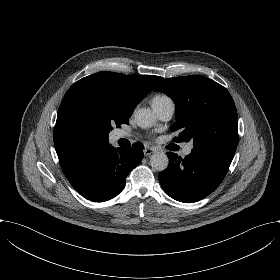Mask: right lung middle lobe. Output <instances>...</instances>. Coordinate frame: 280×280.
<instances>
[{"mask_svg":"<svg viewBox=\"0 0 280 280\" xmlns=\"http://www.w3.org/2000/svg\"><path fill=\"white\" fill-rule=\"evenodd\" d=\"M129 120H115L114 122L111 123V126L113 124L116 125V127H120L121 124H127ZM110 130H112V127L110 128Z\"/></svg>","mask_w":280,"mask_h":280,"instance_id":"obj_1","label":"right lung middle lobe"}]
</instances>
